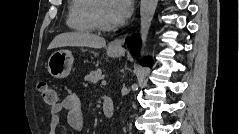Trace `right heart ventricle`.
<instances>
[{"label":"right heart ventricle","instance_id":"1","mask_svg":"<svg viewBox=\"0 0 239 134\" xmlns=\"http://www.w3.org/2000/svg\"><path fill=\"white\" fill-rule=\"evenodd\" d=\"M94 0H72L69 4L67 25L78 32H92L95 25L91 11Z\"/></svg>","mask_w":239,"mask_h":134}]
</instances>
